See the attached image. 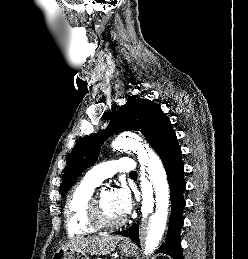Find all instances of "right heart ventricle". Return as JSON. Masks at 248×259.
Masks as SVG:
<instances>
[{
    "label": "right heart ventricle",
    "mask_w": 248,
    "mask_h": 259,
    "mask_svg": "<svg viewBox=\"0 0 248 259\" xmlns=\"http://www.w3.org/2000/svg\"><path fill=\"white\" fill-rule=\"evenodd\" d=\"M97 186L84 177L69 194L65 211L69 235L83 236L97 231L88 216L90 199Z\"/></svg>",
    "instance_id": "1"
}]
</instances>
